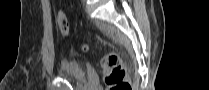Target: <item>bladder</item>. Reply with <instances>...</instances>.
<instances>
[{"instance_id": "obj_1", "label": "bladder", "mask_w": 209, "mask_h": 90, "mask_svg": "<svg viewBox=\"0 0 209 90\" xmlns=\"http://www.w3.org/2000/svg\"><path fill=\"white\" fill-rule=\"evenodd\" d=\"M60 76L74 80L76 83H85L88 80L85 67L79 62L63 60L60 63Z\"/></svg>"}]
</instances>
